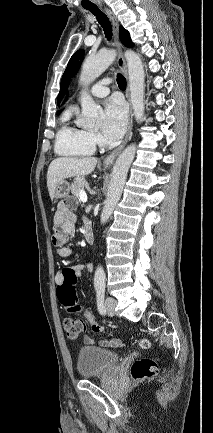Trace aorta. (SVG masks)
<instances>
[{
	"instance_id": "obj_1",
	"label": "aorta",
	"mask_w": 213,
	"mask_h": 433,
	"mask_svg": "<svg viewBox=\"0 0 213 433\" xmlns=\"http://www.w3.org/2000/svg\"><path fill=\"white\" fill-rule=\"evenodd\" d=\"M115 50H104L96 55H90L84 60L82 71L80 74V82L88 85L99 77L115 60ZM127 61L129 88L131 95V103L134 111L135 119L138 123L143 121L144 115V96H145V73L140 56L134 51L127 50L125 52ZM82 113L79 123L82 126H96L99 120L101 108L94 100L83 92L81 96ZM136 145L127 146L117 158L112 170L111 180L108 188L107 198L101 213L100 221L106 223L112 215L115 206L120 200L123 187L125 184L128 169L135 157ZM106 275L101 266H98L94 275V287L104 288Z\"/></svg>"
}]
</instances>
